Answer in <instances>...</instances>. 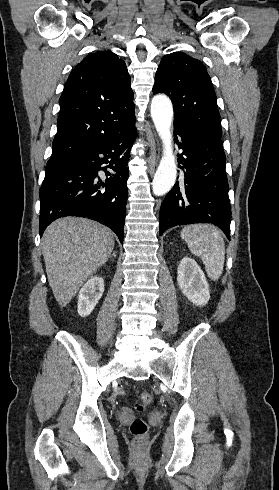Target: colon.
Instances as JSON below:
<instances>
[{
	"label": "colon",
	"instance_id": "5ec220e1",
	"mask_svg": "<svg viewBox=\"0 0 279 490\" xmlns=\"http://www.w3.org/2000/svg\"><path fill=\"white\" fill-rule=\"evenodd\" d=\"M154 397L150 392H144L140 395L137 402L138 412L142 411L143 404H150L153 401ZM147 424L141 418H136L130 425V432L135 436L136 442H145Z\"/></svg>",
	"mask_w": 279,
	"mask_h": 490
}]
</instances>
